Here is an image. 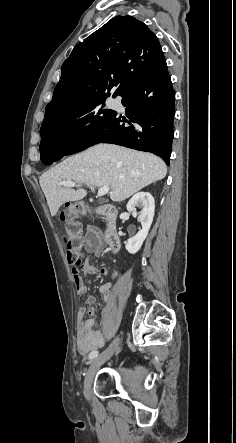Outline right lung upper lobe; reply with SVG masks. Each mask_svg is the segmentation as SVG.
Masks as SVG:
<instances>
[{
    "mask_svg": "<svg viewBox=\"0 0 236 443\" xmlns=\"http://www.w3.org/2000/svg\"><path fill=\"white\" fill-rule=\"evenodd\" d=\"M163 56L147 25L132 16L114 17L77 44L64 61L44 120L110 92L120 95Z\"/></svg>",
    "mask_w": 236,
    "mask_h": 443,
    "instance_id": "1",
    "label": "right lung upper lobe"
}]
</instances>
